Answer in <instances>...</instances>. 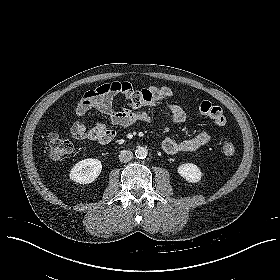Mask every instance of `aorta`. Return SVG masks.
Listing matches in <instances>:
<instances>
[{"label":"aorta","mask_w":280,"mask_h":280,"mask_svg":"<svg viewBox=\"0 0 280 280\" xmlns=\"http://www.w3.org/2000/svg\"><path fill=\"white\" fill-rule=\"evenodd\" d=\"M148 155V150L145 148V147H141L139 146L137 149H136V156L139 158V159H145Z\"/></svg>","instance_id":"obj_1"}]
</instances>
